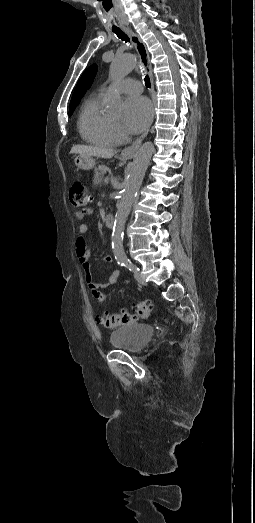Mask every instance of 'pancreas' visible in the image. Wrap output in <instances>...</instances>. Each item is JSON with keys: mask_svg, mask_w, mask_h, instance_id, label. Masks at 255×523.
Returning a JSON list of instances; mask_svg holds the SVG:
<instances>
[{"mask_svg": "<svg viewBox=\"0 0 255 523\" xmlns=\"http://www.w3.org/2000/svg\"><path fill=\"white\" fill-rule=\"evenodd\" d=\"M109 168L107 166H99V168H96L93 176V184H102L104 180V174L108 172Z\"/></svg>", "mask_w": 255, "mask_h": 523, "instance_id": "1", "label": "pancreas"}]
</instances>
